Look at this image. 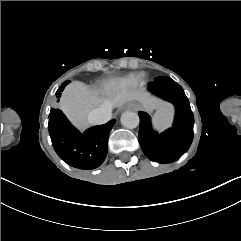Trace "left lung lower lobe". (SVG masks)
Masks as SVG:
<instances>
[{
	"label": "left lung lower lobe",
	"instance_id": "0a47b994",
	"mask_svg": "<svg viewBox=\"0 0 241 241\" xmlns=\"http://www.w3.org/2000/svg\"><path fill=\"white\" fill-rule=\"evenodd\" d=\"M148 90L171 102L176 108V115L173 127L158 134L151 128L149 115L139 112V143L151 161L170 163L179 159L192 142L193 113L183 88L171 78H156L148 84Z\"/></svg>",
	"mask_w": 241,
	"mask_h": 241
}]
</instances>
